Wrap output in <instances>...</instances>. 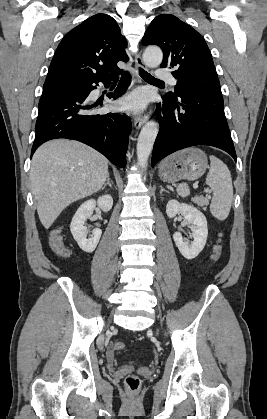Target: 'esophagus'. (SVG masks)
Masks as SVG:
<instances>
[{"label":"esophagus","mask_w":267,"mask_h":419,"mask_svg":"<svg viewBox=\"0 0 267 419\" xmlns=\"http://www.w3.org/2000/svg\"><path fill=\"white\" fill-rule=\"evenodd\" d=\"M135 66L137 69L144 68V63L139 53L135 55ZM147 119H148L147 115L135 117L134 125L136 129H139L147 121Z\"/></svg>","instance_id":"1"}]
</instances>
